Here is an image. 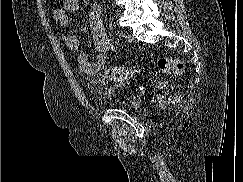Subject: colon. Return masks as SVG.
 <instances>
[{
	"label": "colon",
	"instance_id": "5ec220e1",
	"mask_svg": "<svg viewBox=\"0 0 243 182\" xmlns=\"http://www.w3.org/2000/svg\"><path fill=\"white\" fill-rule=\"evenodd\" d=\"M158 67L165 73H180L183 70V64L177 59L170 57H161L158 60ZM138 71L130 67H111L105 71V77L112 81H124L135 76Z\"/></svg>",
	"mask_w": 243,
	"mask_h": 182
}]
</instances>
